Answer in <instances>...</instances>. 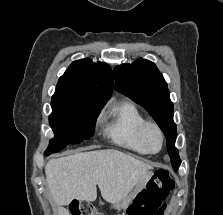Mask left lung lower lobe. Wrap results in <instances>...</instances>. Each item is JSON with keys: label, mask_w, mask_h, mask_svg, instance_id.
I'll use <instances>...</instances> for the list:
<instances>
[{"label": "left lung lower lobe", "mask_w": 223, "mask_h": 215, "mask_svg": "<svg viewBox=\"0 0 223 215\" xmlns=\"http://www.w3.org/2000/svg\"><path fill=\"white\" fill-rule=\"evenodd\" d=\"M178 168H174V170L176 171Z\"/></svg>", "instance_id": "1"}]
</instances>
